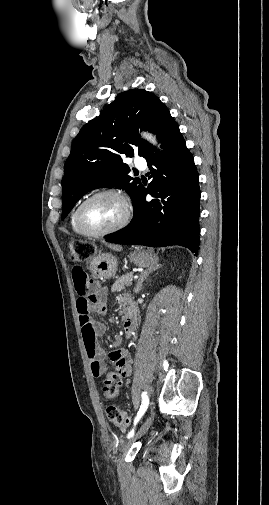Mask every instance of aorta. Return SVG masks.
Listing matches in <instances>:
<instances>
[{"mask_svg":"<svg viewBox=\"0 0 269 505\" xmlns=\"http://www.w3.org/2000/svg\"><path fill=\"white\" fill-rule=\"evenodd\" d=\"M142 136L152 144H157L155 137L149 133H143Z\"/></svg>","mask_w":269,"mask_h":505,"instance_id":"1","label":"aorta"}]
</instances>
